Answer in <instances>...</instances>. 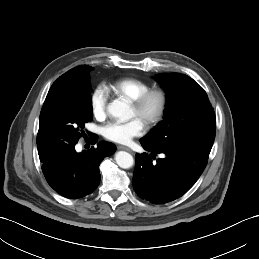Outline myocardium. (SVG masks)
I'll return each instance as SVG.
<instances>
[{"label":"myocardium","instance_id":"1","mask_svg":"<svg viewBox=\"0 0 259 259\" xmlns=\"http://www.w3.org/2000/svg\"><path fill=\"white\" fill-rule=\"evenodd\" d=\"M152 96L158 97L159 105L156 113L149 120L146 121V124L148 127H153L162 121L168 107V102H169L168 93L162 88L153 87L143 91L133 100H131V105L135 109L139 110L145 105V103Z\"/></svg>","mask_w":259,"mask_h":259}]
</instances>
